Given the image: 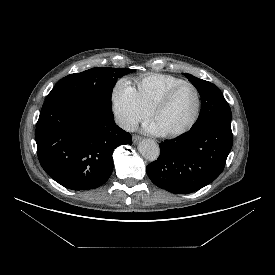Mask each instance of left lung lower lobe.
<instances>
[{
    "mask_svg": "<svg viewBox=\"0 0 275 275\" xmlns=\"http://www.w3.org/2000/svg\"><path fill=\"white\" fill-rule=\"evenodd\" d=\"M232 144L230 122L196 127L180 139L160 143V156L146 171L161 189L176 194L191 193L221 174Z\"/></svg>",
    "mask_w": 275,
    "mask_h": 275,
    "instance_id": "1",
    "label": "left lung lower lobe"
}]
</instances>
